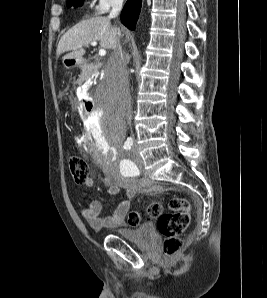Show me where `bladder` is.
<instances>
[{
  "label": "bladder",
  "mask_w": 267,
  "mask_h": 298,
  "mask_svg": "<svg viewBox=\"0 0 267 298\" xmlns=\"http://www.w3.org/2000/svg\"><path fill=\"white\" fill-rule=\"evenodd\" d=\"M117 234L122 239L141 248L150 247L156 239L154 228L150 224L142 225L136 229L122 230Z\"/></svg>",
  "instance_id": "obj_1"
}]
</instances>
